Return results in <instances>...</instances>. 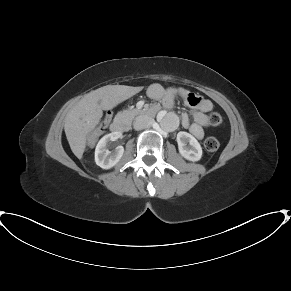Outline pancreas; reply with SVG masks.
<instances>
[{"label": "pancreas", "instance_id": "1", "mask_svg": "<svg viewBox=\"0 0 291 291\" xmlns=\"http://www.w3.org/2000/svg\"><path fill=\"white\" fill-rule=\"evenodd\" d=\"M142 111L136 108H129L127 110H124L122 112L118 113V117H120L124 121H132L135 116L141 114Z\"/></svg>", "mask_w": 291, "mask_h": 291}]
</instances>
